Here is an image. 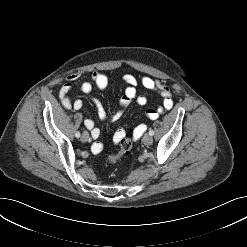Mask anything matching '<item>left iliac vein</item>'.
I'll return each mask as SVG.
<instances>
[{"mask_svg": "<svg viewBox=\"0 0 247 247\" xmlns=\"http://www.w3.org/2000/svg\"><path fill=\"white\" fill-rule=\"evenodd\" d=\"M153 142V138L150 134H145L144 137H143V143L145 145H151Z\"/></svg>", "mask_w": 247, "mask_h": 247, "instance_id": "4c4485c4", "label": "left iliac vein"}]
</instances>
